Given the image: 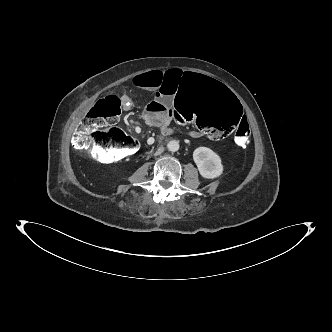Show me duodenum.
Wrapping results in <instances>:
<instances>
[{
    "mask_svg": "<svg viewBox=\"0 0 332 332\" xmlns=\"http://www.w3.org/2000/svg\"><path fill=\"white\" fill-rule=\"evenodd\" d=\"M162 134L164 136H169L173 134V131L167 127L162 128Z\"/></svg>",
    "mask_w": 332,
    "mask_h": 332,
    "instance_id": "1",
    "label": "duodenum"
}]
</instances>
